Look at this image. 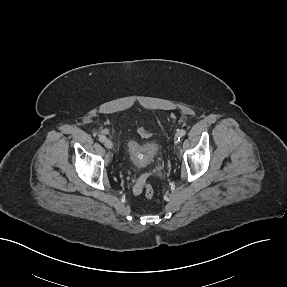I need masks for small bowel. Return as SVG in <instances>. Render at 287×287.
<instances>
[{"label":"small bowel","mask_w":287,"mask_h":287,"mask_svg":"<svg viewBox=\"0 0 287 287\" xmlns=\"http://www.w3.org/2000/svg\"><path fill=\"white\" fill-rule=\"evenodd\" d=\"M134 191H135L136 193H140V191H141V190H140V187H139V186H136L135 189H134Z\"/></svg>","instance_id":"c3829d8e"}]
</instances>
